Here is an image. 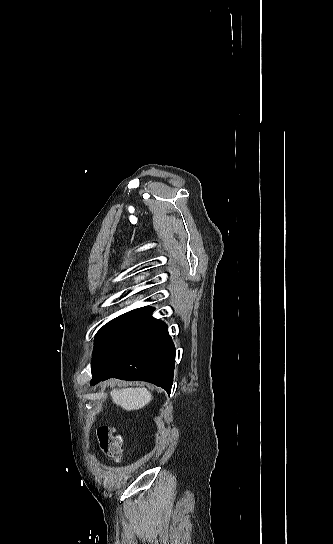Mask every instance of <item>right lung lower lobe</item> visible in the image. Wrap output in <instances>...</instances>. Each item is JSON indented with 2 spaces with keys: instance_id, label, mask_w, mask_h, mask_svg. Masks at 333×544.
Wrapping results in <instances>:
<instances>
[{
  "instance_id": "98d812e1",
  "label": "right lung lower lobe",
  "mask_w": 333,
  "mask_h": 544,
  "mask_svg": "<svg viewBox=\"0 0 333 544\" xmlns=\"http://www.w3.org/2000/svg\"><path fill=\"white\" fill-rule=\"evenodd\" d=\"M175 347L167 325L160 320L140 337L115 352L102 364L92 366L91 384L109 378L153 383L169 394L173 383Z\"/></svg>"
}]
</instances>
